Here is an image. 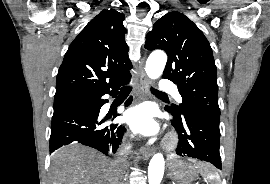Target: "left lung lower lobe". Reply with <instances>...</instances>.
Wrapping results in <instances>:
<instances>
[{
  "label": "left lung lower lobe",
  "instance_id": "left-lung-lower-lobe-1",
  "mask_svg": "<svg viewBox=\"0 0 270 184\" xmlns=\"http://www.w3.org/2000/svg\"><path fill=\"white\" fill-rule=\"evenodd\" d=\"M173 126L179 135V156L206 161L221 169L219 121L187 112L182 120L174 117Z\"/></svg>",
  "mask_w": 270,
  "mask_h": 184
}]
</instances>
